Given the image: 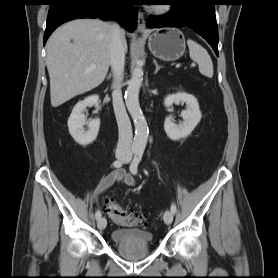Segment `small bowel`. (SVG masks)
<instances>
[{"label":"small bowel","instance_id":"obj_1","mask_svg":"<svg viewBox=\"0 0 278 278\" xmlns=\"http://www.w3.org/2000/svg\"><path fill=\"white\" fill-rule=\"evenodd\" d=\"M115 183H121L129 187H134L136 185V179L132 174L127 173L123 168L115 169L103 177L97 184L93 193L94 199L97 200L100 193L106 191Z\"/></svg>","mask_w":278,"mask_h":278}]
</instances>
